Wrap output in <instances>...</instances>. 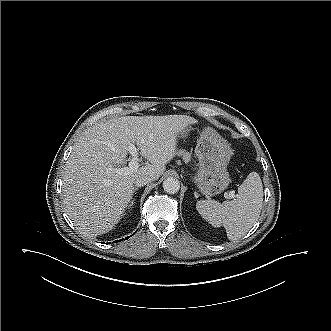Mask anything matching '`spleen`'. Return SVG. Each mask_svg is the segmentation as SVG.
Returning a JSON list of instances; mask_svg holds the SVG:
<instances>
[{
	"instance_id": "obj_1",
	"label": "spleen",
	"mask_w": 331,
	"mask_h": 331,
	"mask_svg": "<svg viewBox=\"0 0 331 331\" xmlns=\"http://www.w3.org/2000/svg\"><path fill=\"white\" fill-rule=\"evenodd\" d=\"M262 192L260 177L252 172L239 186L234 200L223 203L200 200L196 209L212 226H224L228 238L236 240L243 237L256 221L262 203Z\"/></svg>"
}]
</instances>
